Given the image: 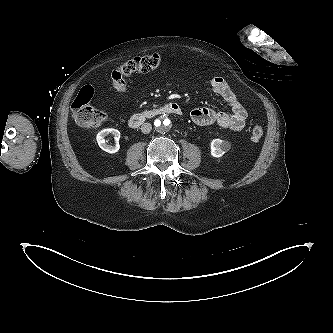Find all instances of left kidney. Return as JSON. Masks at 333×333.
Masks as SVG:
<instances>
[{"instance_id": "obj_1", "label": "left kidney", "mask_w": 333, "mask_h": 333, "mask_svg": "<svg viewBox=\"0 0 333 333\" xmlns=\"http://www.w3.org/2000/svg\"><path fill=\"white\" fill-rule=\"evenodd\" d=\"M230 143L221 139H214L210 144L211 155L215 158L222 157L229 149Z\"/></svg>"}]
</instances>
